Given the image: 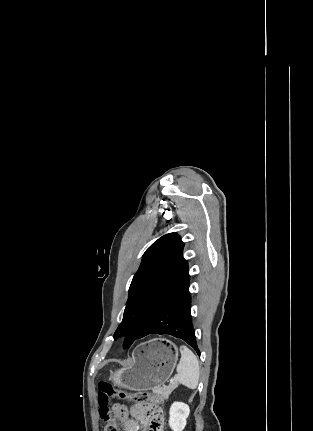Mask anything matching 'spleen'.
<instances>
[{
  "instance_id": "1",
  "label": "spleen",
  "mask_w": 313,
  "mask_h": 431,
  "mask_svg": "<svg viewBox=\"0 0 313 431\" xmlns=\"http://www.w3.org/2000/svg\"><path fill=\"white\" fill-rule=\"evenodd\" d=\"M181 359L177 365L176 380L189 389H196L199 382V362L194 353L186 346H180Z\"/></svg>"
}]
</instances>
